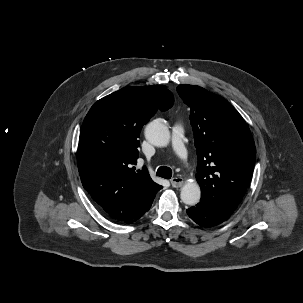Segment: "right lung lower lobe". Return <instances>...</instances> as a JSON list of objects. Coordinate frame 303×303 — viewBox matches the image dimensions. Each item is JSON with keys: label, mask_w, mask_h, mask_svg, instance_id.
<instances>
[{"label": "right lung lower lobe", "mask_w": 303, "mask_h": 303, "mask_svg": "<svg viewBox=\"0 0 303 303\" xmlns=\"http://www.w3.org/2000/svg\"><path fill=\"white\" fill-rule=\"evenodd\" d=\"M155 197V196H154ZM154 197L151 198L145 205V207L138 213L136 214L135 216H133L132 218L128 219V220H125V221H122L124 223H132V222H135L136 220H138L140 217H142L144 215L145 212H147L151 205H152V202L154 200Z\"/></svg>", "instance_id": "right-lung-lower-lobe-1"}]
</instances>
